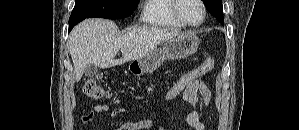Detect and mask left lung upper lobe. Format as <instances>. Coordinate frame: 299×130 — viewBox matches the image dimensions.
Returning <instances> with one entry per match:
<instances>
[{
	"instance_id": "left-lung-upper-lobe-1",
	"label": "left lung upper lobe",
	"mask_w": 299,
	"mask_h": 130,
	"mask_svg": "<svg viewBox=\"0 0 299 130\" xmlns=\"http://www.w3.org/2000/svg\"><path fill=\"white\" fill-rule=\"evenodd\" d=\"M205 6L209 12L215 16V18L224 24L222 0H203Z\"/></svg>"
}]
</instances>
